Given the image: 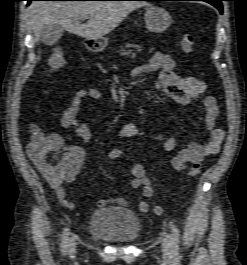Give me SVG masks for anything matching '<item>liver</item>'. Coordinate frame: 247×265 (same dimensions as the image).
<instances>
[{"instance_id": "6515ba94", "label": "liver", "mask_w": 247, "mask_h": 265, "mask_svg": "<svg viewBox=\"0 0 247 265\" xmlns=\"http://www.w3.org/2000/svg\"><path fill=\"white\" fill-rule=\"evenodd\" d=\"M146 5L140 1H33L27 17L36 41L46 24L97 40L112 32L132 11ZM82 16L88 17L86 24H80Z\"/></svg>"}]
</instances>
